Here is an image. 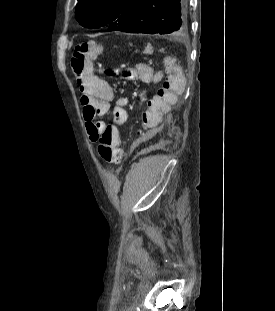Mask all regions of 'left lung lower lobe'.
<instances>
[{"label": "left lung lower lobe", "instance_id": "left-lung-lower-lobe-1", "mask_svg": "<svg viewBox=\"0 0 275 311\" xmlns=\"http://www.w3.org/2000/svg\"><path fill=\"white\" fill-rule=\"evenodd\" d=\"M187 26L186 0H142L134 14L114 31L179 34Z\"/></svg>", "mask_w": 275, "mask_h": 311}]
</instances>
